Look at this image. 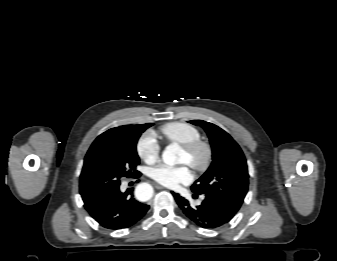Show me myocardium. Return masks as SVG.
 <instances>
[{"mask_svg": "<svg viewBox=\"0 0 337 261\" xmlns=\"http://www.w3.org/2000/svg\"><path fill=\"white\" fill-rule=\"evenodd\" d=\"M182 149L191 157L188 165L196 172L203 173L207 171L214 157V151L212 145L203 139H196L191 142L182 145ZM203 153V157L200 161L194 159V157L199 153Z\"/></svg>", "mask_w": 337, "mask_h": 261, "instance_id": "f54148a6", "label": "myocardium"}]
</instances>
